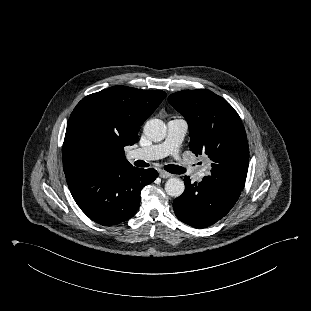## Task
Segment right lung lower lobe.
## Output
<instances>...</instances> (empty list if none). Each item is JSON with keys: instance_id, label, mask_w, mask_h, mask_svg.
<instances>
[{"instance_id": "right-lung-lower-lobe-1", "label": "right lung lower lobe", "mask_w": 311, "mask_h": 311, "mask_svg": "<svg viewBox=\"0 0 311 311\" xmlns=\"http://www.w3.org/2000/svg\"><path fill=\"white\" fill-rule=\"evenodd\" d=\"M70 192L80 209L103 226L122 223L136 214L140 192L153 182L154 169L119 167L99 163L65 173Z\"/></svg>"}]
</instances>
